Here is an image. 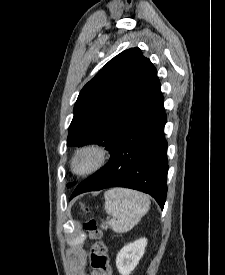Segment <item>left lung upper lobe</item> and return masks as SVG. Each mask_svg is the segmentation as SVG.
<instances>
[{"label": "left lung upper lobe", "mask_w": 225, "mask_h": 275, "mask_svg": "<svg viewBox=\"0 0 225 275\" xmlns=\"http://www.w3.org/2000/svg\"><path fill=\"white\" fill-rule=\"evenodd\" d=\"M160 87L156 68L139 48L118 54L80 91L67 146L98 144L111 152L158 98Z\"/></svg>", "instance_id": "5c2ea615"}]
</instances>
